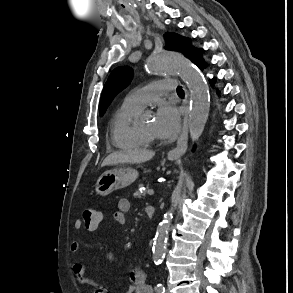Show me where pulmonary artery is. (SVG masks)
<instances>
[{
  "instance_id": "obj_1",
  "label": "pulmonary artery",
  "mask_w": 293,
  "mask_h": 293,
  "mask_svg": "<svg viewBox=\"0 0 293 293\" xmlns=\"http://www.w3.org/2000/svg\"><path fill=\"white\" fill-rule=\"evenodd\" d=\"M177 85L175 79L151 82L142 88L131 91L125 97L123 104L141 110L159 96L176 90Z\"/></svg>"
}]
</instances>
